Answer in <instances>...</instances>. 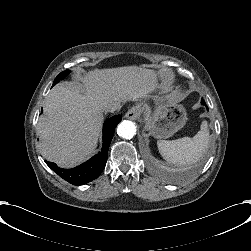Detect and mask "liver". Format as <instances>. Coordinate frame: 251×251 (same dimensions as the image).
I'll return each mask as SVG.
<instances>
[{
    "label": "liver",
    "instance_id": "obj_1",
    "mask_svg": "<svg viewBox=\"0 0 251 251\" xmlns=\"http://www.w3.org/2000/svg\"><path fill=\"white\" fill-rule=\"evenodd\" d=\"M79 80L49 92L36 127L42 156L63 168L94 152L108 104L149 99L159 88L157 73L141 66L84 71Z\"/></svg>",
    "mask_w": 251,
    "mask_h": 251
}]
</instances>
